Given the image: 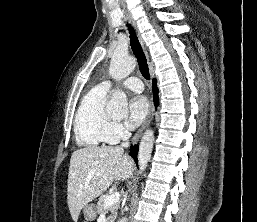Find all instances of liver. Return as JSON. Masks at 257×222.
Masks as SVG:
<instances>
[{
  "instance_id": "6515ba94",
  "label": "liver",
  "mask_w": 257,
  "mask_h": 222,
  "mask_svg": "<svg viewBox=\"0 0 257 222\" xmlns=\"http://www.w3.org/2000/svg\"><path fill=\"white\" fill-rule=\"evenodd\" d=\"M133 161L121 147H86L74 151L67 181V203L77 222L81 209L106 191L114 180L131 177Z\"/></svg>"
}]
</instances>
